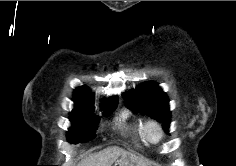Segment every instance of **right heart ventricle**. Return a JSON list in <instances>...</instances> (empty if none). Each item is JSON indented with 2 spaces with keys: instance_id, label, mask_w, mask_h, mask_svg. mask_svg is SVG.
Returning <instances> with one entry per match:
<instances>
[{
  "instance_id": "right-heart-ventricle-1",
  "label": "right heart ventricle",
  "mask_w": 236,
  "mask_h": 166,
  "mask_svg": "<svg viewBox=\"0 0 236 166\" xmlns=\"http://www.w3.org/2000/svg\"><path fill=\"white\" fill-rule=\"evenodd\" d=\"M122 117H123L124 120H127L128 117H129V113H128V112H124V113L122 114ZM143 125H144V123H143L141 120H138V121H136V122L132 125L131 129H132L133 133H134L139 139H141L142 141H146V140H145V137H144V132H143Z\"/></svg>"
}]
</instances>
